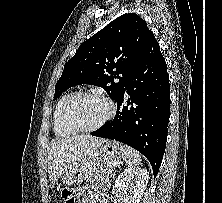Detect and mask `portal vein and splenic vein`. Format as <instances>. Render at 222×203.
<instances>
[{
  "label": "portal vein and splenic vein",
  "mask_w": 222,
  "mask_h": 203,
  "mask_svg": "<svg viewBox=\"0 0 222 203\" xmlns=\"http://www.w3.org/2000/svg\"><path fill=\"white\" fill-rule=\"evenodd\" d=\"M113 166H116V163H115V162L113 163Z\"/></svg>",
  "instance_id": "obj_1"
}]
</instances>
